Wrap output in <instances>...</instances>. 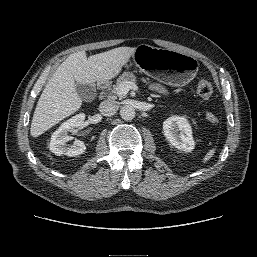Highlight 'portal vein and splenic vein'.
I'll use <instances>...</instances> for the list:
<instances>
[{
    "mask_svg": "<svg viewBox=\"0 0 257 257\" xmlns=\"http://www.w3.org/2000/svg\"><path fill=\"white\" fill-rule=\"evenodd\" d=\"M138 89L137 85L134 82H124L122 83L118 88H117V95L119 97L125 96L129 90H134L136 91Z\"/></svg>",
    "mask_w": 257,
    "mask_h": 257,
    "instance_id": "1",
    "label": "portal vein and splenic vein"
}]
</instances>
